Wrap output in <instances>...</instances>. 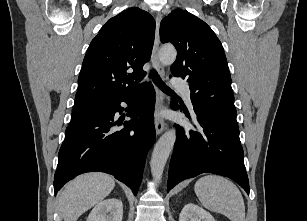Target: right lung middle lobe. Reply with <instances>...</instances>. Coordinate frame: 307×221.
I'll return each mask as SVG.
<instances>
[{
	"label": "right lung middle lobe",
	"instance_id": "obj_1",
	"mask_svg": "<svg viewBox=\"0 0 307 221\" xmlns=\"http://www.w3.org/2000/svg\"><path fill=\"white\" fill-rule=\"evenodd\" d=\"M110 103H93L74 106L69 126L83 122L100 113H103Z\"/></svg>",
	"mask_w": 307,
	"mask_h": 221
}]
</instances>
